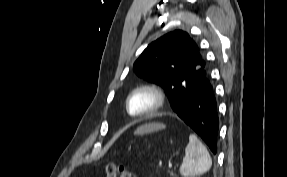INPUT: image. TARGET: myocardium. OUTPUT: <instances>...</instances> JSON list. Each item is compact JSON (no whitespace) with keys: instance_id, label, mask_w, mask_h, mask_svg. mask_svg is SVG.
I'll return each mask as SVG.
<instances>
[{"instance_id":"f54148a6","label":"myocardium","mask_w":287,"mask_h":177,"mask_svg":"<svg viewBox=\"0 0 287 177\" xmlns=\"http://www.w3.org/2000/svg\"><path fill=\"white\" fill-rule=\"evenodd\" d=\"M138 93L149 94L153 101L151 105L144 111L139 113H132L130 110V102L131 99ZM166 100V93L160 86L154 83H144L132 89L127 95L125 109L126 112L133 118H145L161 110L164 107Z\"/></svg>"}]
</instances>
